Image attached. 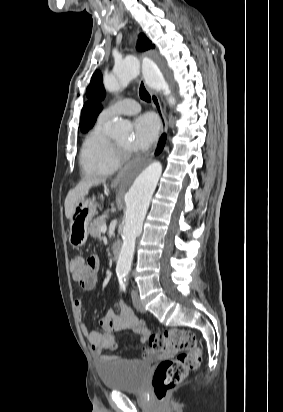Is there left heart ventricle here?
I'll return each instance as SVG.
<instances>
[{
  "label": "left heart ventricle",
  "mask_w": 283,
  "mask_h": 412,
  "mask_svg": "<svg viewBox=\"0 0 283 412\" xmlns=\"http://www.w3.org/2000/svg\"><path fill=\"white\" fill-rule=\"evenodd\" d=\"M116 142H117L119 145H121L122 147L129 149V145H130L131 139H130L129 136H126V137H122V138L116 140Z\"/></svg>",
  "instance_id": "obj_1"
}]
</instances>
